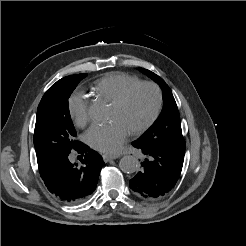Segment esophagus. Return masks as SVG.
<instances>
[{
	"mask_svg": "<svg viewBox=\"0 0 246 246\" xmlns=\"http://www.w3.org/2000/svg\"><path fill=\"white\" fill-rule=\"evenodd\" d=\"M102 157H103V160H104L105 162H109V161H111V160H113V159H117L119 156H118V155H108V154H104Z\"/></svg>",
	"mask_w": 246,
	"mask_h": 246,
	"instance_id": "esophagus-1",
	"label": "esophagus"
}]
</instances>
